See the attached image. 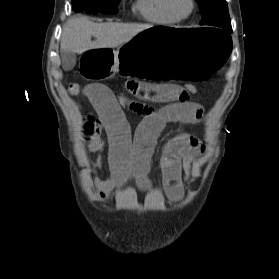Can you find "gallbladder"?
Wrapping results in <instances>:
<instances>
[{"label": "gallbladder", "mask_w": 279, "mask_h": 279, "mask_svg": "<svg viewBox=\"0 0 279 279\" xmlns=\"http://www.w3.org/2000/svg\"><path fill=\"white\" fill-rule=\"evenodd\" d=\"M62 66L65 71H70L76 64V54L73 52H61Z\"/></svg>", "instance_id": "bac80fb5"}]
</instances>
